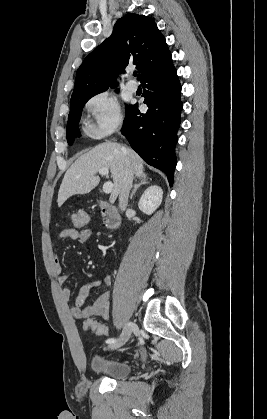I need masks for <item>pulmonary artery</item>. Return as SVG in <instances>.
Segmentation results:
<instances>
[{
    "label": "pulmonary artery",
    "instance_id": "pulmonary-artery-1",
    "mask_svg": "<svg viewBox=\"0 0 267 419\" xmlns=\"http://www.w3.org/2000/svg\"><path fill=\"white\" fill-rule=\"evenodd\" d=\"M126 87L131 92H136L138 89V84L134 80H129L126 84Z\"/></svg>",
    "mask_w": 267,
    "mask_h": 419
}]
</instances>
